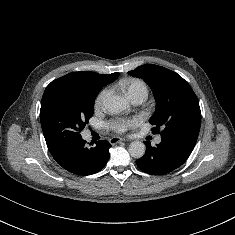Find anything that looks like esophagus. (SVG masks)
<instances>
[{"mask_svg":"<svg viewBox=\"0 0 235 235\" xmlns=\"http://www.w3.org/2000/svg\"><path fill=\"white\" fill-rule=\"evenodd\" d=\"M125 139L120 138V137H112L109 139L110 144L115 145L117 143L123 142Z\"/></svg>","mask_w":235,"mask_h":235,"instance_id":"esophagus-1","label":"esophagus"}]
</instances>
